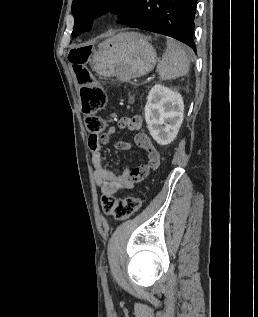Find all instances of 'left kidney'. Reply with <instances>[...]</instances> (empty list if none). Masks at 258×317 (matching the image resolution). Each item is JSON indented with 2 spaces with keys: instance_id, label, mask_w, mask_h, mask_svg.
Instances as JSON below:
<instances>
[{
  "instance_id": "5707ae66",
  "label": "left kidney",
  "mask_w": 258,
  "mask_h": 317,
  "mask_svg": "<svg viewBox=\"0 0 258 317\" xmlns=\"http://www.w3.org/2000/svg\"><path fill=\"white\" fill-rule=\"evenodd\" d=\"M147 128L158 144H170L182 124L184 102L180 92L154 84L145 104Z\"/></svg>"
}]
</instances>
